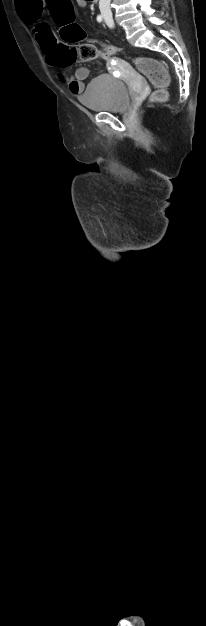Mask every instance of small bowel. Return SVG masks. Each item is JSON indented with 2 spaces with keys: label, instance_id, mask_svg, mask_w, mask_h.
Masks as SVG:
<instances>
[{
  "label": "small bowel",
  "instance_id": "obj_1",
  "mask_svg": "<svg viewBox=\"0 0 206 626\" xmlns=\"http://www.w3.org/2000/svg\"><path fill=\"white\" fill-rule=\"evenodd\" d=\"M76 3L79 8H85L87 6L86 0H76ZM33 32L41 51L46 56L47 61L50 64L55 65V50L56 47L59 45L57 40L43 24H36ZM111 62L114 66L121 68L126 67V63L121 60L113 58L111 59ZM88 75L89 70L86 67L78 68L73 75H69L63 70L59 71L57 74L58 79L62 83L66 84L70 92L75 95H79L84 91V80L87 79Z\"/></svg>",
  "mask_w": 206,
  "mask_h": 626
}]
</instances>
